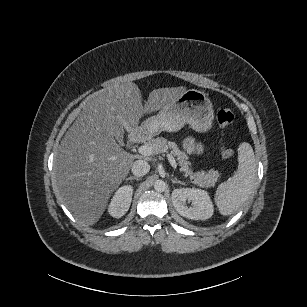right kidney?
<instances>
[{"label": "right kidney", "mask_w": 307, "mask_h": 307, "mask_svg": "<svg viewBox=\"0 0 307 307\" xmlns=\"http://www.w3.org/2000/svg\"><path fill=\"white\" fill-rule=\"evenodd\" d=\"M133 190L134 187L131 184L122 185L116 189L107 206L109 216L118 219L127 213L131 205Z\"/></svg>", "instance_id": "right-kidney-1"}]
</instances>
